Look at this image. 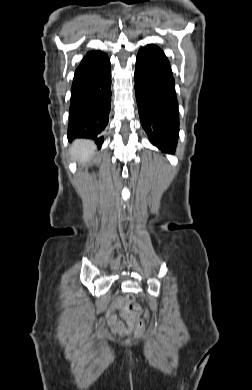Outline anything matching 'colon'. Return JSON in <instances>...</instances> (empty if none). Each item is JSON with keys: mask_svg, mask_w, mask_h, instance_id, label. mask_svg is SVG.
<instances>
[{"mask_svg": "<svg viewBox=\"0 0 252 390\" xmlns=\"http://www.w3.org/2000/svg\"><path fill=\"white\" fill-rule=\"evenodd\" d=\"M125 305H126L127 311L131 315L135 316V319H134L135 336L139 337V336L143 335L145 324H144L143 319L139 316L140 309L135 304L134 297L132 295H127L126 296Z\"/></svg>", "mask_w": 252, "mask_h": 390, "instance_id": "1", "label": "colon"}]
</instances>
